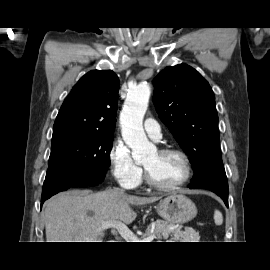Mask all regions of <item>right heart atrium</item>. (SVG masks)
<instances>
[{
	"label": "right heart atrium",
	"instance_id": "d8ad5b80",
	"mask_svg": "<svg viewBox=\"0 0 270 270\" xmlns=\"http://www.w3.org/2000/svg\"><path fill=\"white\" fill-rule=\"evenodd\" d=\"M110 171L125 188L137 187L142 179V168L133 160L128 147L121 141L113 143L109 151Z\"/></svg>",
	"mask_w": 270,
	"mask_h": 270
}]
</instances>
